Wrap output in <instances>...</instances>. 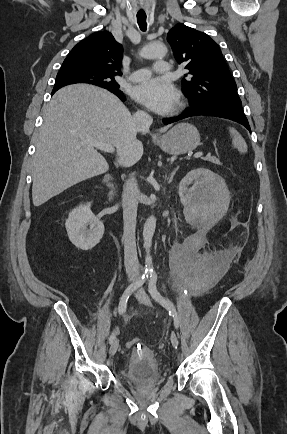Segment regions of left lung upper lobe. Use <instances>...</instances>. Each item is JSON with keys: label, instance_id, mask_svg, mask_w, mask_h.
<instances>
[{"label": "left lung upper lobe", "instance_id": "5c2ea615", "mask_svg": "<svg viewBox=\"0 0 287 434\" xmlns=\"http://www.w3.org/2000/svg\"><path fill=\"white\" fill-rule=\"evenodd\" d=\"M167 41L177 62L186 63L189 70L182 79V90L190 106L241 103L221 50L207 34L177 24L168 32Z\"/></svg>", "mask_w": 287, "mask_h": 434}]
</instances>
